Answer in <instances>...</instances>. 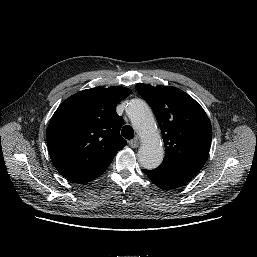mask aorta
I'll return each mask as SVG.
<instances>
[{"label":"aorta","instance_id":"762f6f07","mask_svg":"<svg viewBox=\"0 0 257 257\" xmlns=\"http://www.w3.org/2000/svg\"><path fill=\"white\" fill-rule=\"evenodd\" d=\"M126 113L143 141L138 151L140 165L145 169L157 168L162 163L164 149L150 108L143 100L134 99L126 107Z\"/></svg>","mask_w":257,"mask_h":257}]
</instances>
